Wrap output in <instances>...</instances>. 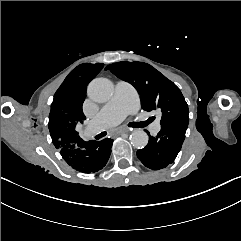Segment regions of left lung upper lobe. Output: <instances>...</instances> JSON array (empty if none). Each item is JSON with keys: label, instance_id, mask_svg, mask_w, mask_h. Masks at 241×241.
<instances>
[{"label": "left lung upper lobe", "instance_id": "5c2ea615", "mask_svg": "<svg viewBox=\"0 0 241 241\" xmlns=\"http://www.w3.org/2000/svg\"><path fill=\"white\" fill-rule=\"evenodd\" d=\"M107 69L135 87L144 110L162 112L161 125L188 124V105L180 89L154 67L143 62H118Z\"/></svg>", "mask_w": 241, "mask_h": 241}]
</instances>
